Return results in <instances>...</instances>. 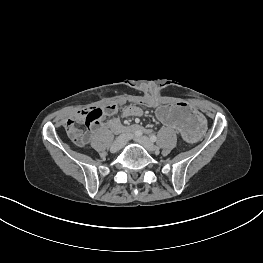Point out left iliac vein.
Returning <instances> with one entry per match:
<instances>
[{
  "instance_id": "1",
  "label": "left iliac vein",
  "mask_w": 263,
  "mask_h": 263,
  "mask_svg": "<svg viewBox=\"0 0 263 263\" xmlns=\"http://www.w3.org/2000/svg\"><path fill=\"white\" fill-rule=\"evenodd\" d=\"M135 141L145 147L148 151L156 152L158 148L154 145V143L146 136H136L134 137Z\"/></svg>"
}]
</instances>
